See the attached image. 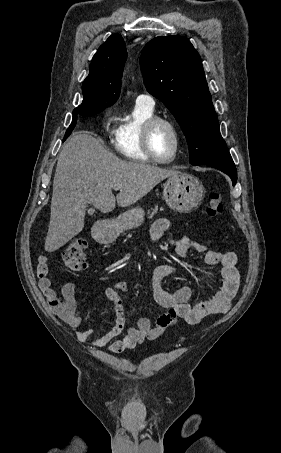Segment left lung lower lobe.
Returning a JSON list of instances; mask_svg holds the SVG:
<instances>
[{"label": "left lung lower lobe", "mask_w": 281, "mask_h": 453, "mask_svg": "<svg viewBox=\"0 0 281 453\" xmlns=\"http://www.w3.org/2000/svg\"><path fill=\"white\" fill-rule=\"evenodd\" d=\"M205 165L216 168V169L224 172L232 179L233 185L236 184L237 170L234 165V162H232V163H210V164H205Z\"/></svg>", "instance_id": "obj_1"}]
</instances>
